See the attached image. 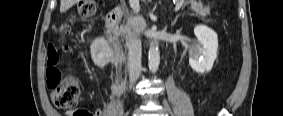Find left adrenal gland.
Instances as JSON below:
<instances>
[{
	"instance_id": "a2214340",
	"label": "left adrenal gland",
	"mask_w": 283,
	"mask_h": 116,
	"mask_svg": "<svg viewBox=\"0 0 283 116\" xmlns=\"http://www.w3.org/2000/svg\"><path fill=\"white\" fill-rule=\"evenodd\" d=\"M177 19H178V15H176V17H175L174 21L172 22V24H171L172 26H174V25L176 24Z\"/></svg>"
}]
</instances>
